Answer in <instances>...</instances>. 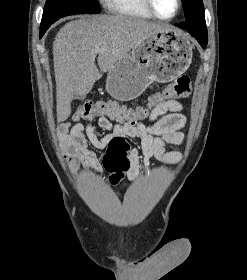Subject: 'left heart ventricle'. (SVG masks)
Wrapping results in <instances>:
<instances>
[{
  "label": "left heart ventricle",
  "instance_id": "obj_1",
  "mask_svg": "<svg viewBox=\"0 0 247 280\" xmlns=\"http://www.w3.org/2000/svg\"><path fill=\"white\" fill-rule=\"evenodd\" d=\"M152 1L156 12L164 18L171 17L176 11L177 8L176 0H152Z\"/></svg>",
  "mask_w": 247,
  "mask_h": 280
}]
</instances>
